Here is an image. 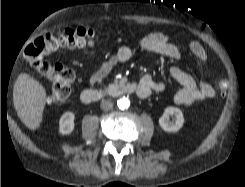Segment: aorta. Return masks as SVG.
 <instances>
[{
    "instance_id": "1",
    "label": "aorta",
    "mask_w": 245,
    "mask_h": 187,
    "mask_svg": "<svg viewBox=\"0 0 245 187\" xmlns=\"http://www.w3.org/2000/svg\"><path fill=\"white\" fill-rule=\"evenodd\" d=\"M117 106L121 110H125L130 106V101L126 97H122L117 100Z\"/></svg>"
}]
</instances>
